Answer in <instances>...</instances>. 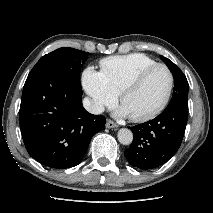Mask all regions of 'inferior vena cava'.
<instances>
[{
	"label": "inferior vena cava",
	"mask_w": 213,
	"mask_h": 213,
	"mask_svg": "<svg viewBox=\"0 0 213 213\" xmlns=\"http://www.w3.org/2000/svg\"><path fill=\"white\" fill-rule=\"evenodd\" d=\"M83 106L88 112L92 114H100L104 112V106L102 104L87 97L83 99Z\"/></svg>",
	"instance_id": "inferior-vena-cava-1"
}]
</instances>
